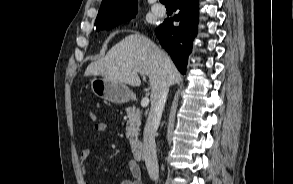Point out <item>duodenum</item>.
Wrapping results in <instances>:
<instances>
[{
	"instance_id": "obj_1",
	"label": "duodenum",
	"mask_w": 293,
	"mask_h": 184,
	"mask_svg": "<svg viewBox=\"0 0 293 184\" xmlns=\"http://www.w3.org/2000/svg\"><path fill=\"white\" fill-rule=\"evenodd\" d=\"M131 152L135 160H139L143 154V142L139 139L133 140L131 142Z\"/></svg>"
}]
</instances>
